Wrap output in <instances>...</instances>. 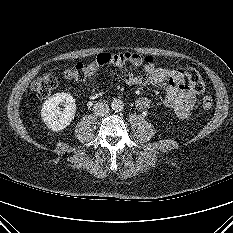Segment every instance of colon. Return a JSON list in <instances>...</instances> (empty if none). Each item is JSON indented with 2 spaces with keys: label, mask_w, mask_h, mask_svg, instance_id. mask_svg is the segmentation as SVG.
I'll return each instance as SVG.
<instances>
[{
  "label": "colon",
  "mask_w": 233,
  "mask_h": 233,
  "mask_svg": "<svg viewBox=\"0 0 233 233\" xmlns=\"http://www.w3.org/2000/svg\"><path fill=\"white\" fill-rule=\"evenodd\" d=\"M110 54H99L91 62L87 64L76 63L68 66L64 70V76L71 80H84L94 74L98 69L108 66L112 62ZM151 57L143 58L144 63H151ZM186 77L190 87L196 93H201L204 90L205 84L200 74L195 69H188ZM57 85L56 74L52 71H46L36 76L32 83V90L41 98L48 97ZM213 105V100L210 96H205L202 100V106L205 110H209Z\"/></svg>",
  "instance_id": "5ec220e1"
}]
</instances>
